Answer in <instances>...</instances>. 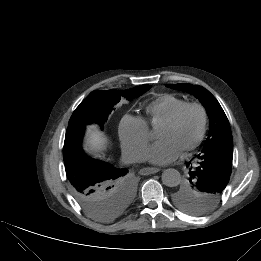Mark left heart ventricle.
Returning <instances> with one entry per match:
<instances>
[{
    "label": "left heart ventricle",
    "instance_id": "left-heart-ventricle-1",
    "mask_svg": "<svg viewBox=\"0 0 261 261\" xmlns=\"http://www.w3.org/2000/svg\"><path fill=\"white\" fill-rule=\"evenodd\" d=\"M201 120L200 111L197 108H190L184 113L176 125H162L157 133V139H169L178 146L180 151H183L198 135Z\"/></svg>",
    "mask_w": 261,
    "mask_h": 261
}]
</instances>
